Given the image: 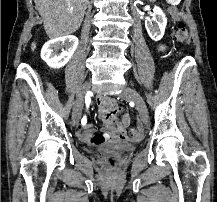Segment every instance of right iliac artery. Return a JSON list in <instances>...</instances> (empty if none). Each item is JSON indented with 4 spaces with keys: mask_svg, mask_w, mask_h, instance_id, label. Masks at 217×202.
<instances>
[{
    "mask_svg": "<svg viewBox=\"0 0 217 202\" xmlns=\"http://www.w3.org/2000/svg\"><path fill=\"white\" fill-rule=\"evenodd\" d=\"M91 101H92V98L90 97V95L87 93L86 96H85V104H86V107L89 109L91 107ZM81 123L82 125H85L87 123V119L86 117H83L82 120H81Z\"/></svg>",
    "mask_w": 217,
    "mask_h": 202,
    "instance_id": "obj_1",
    "label": "right iliac artery"
}]
</instances>
